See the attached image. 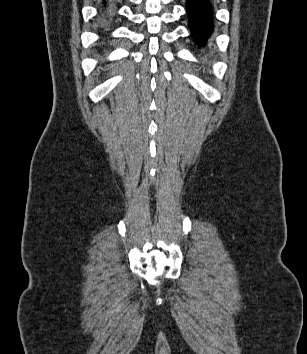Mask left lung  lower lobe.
<instances>
[{
  "label": "left lung lower lobe",
  "instance_id": "1",
  "mask_svg": "<svg viewBox=\"0 0 307 354\" xmlns=\"http://www.w3.org/2000/svg\"><path fill=\"white\" fill-rule=\"evenodd\" d=\"M189 29L195 43L204 47L214 27L213 0H187Z\"/></svg>",
  "mask_w": 307,
  "mask_h": 354
}]
</instances>
